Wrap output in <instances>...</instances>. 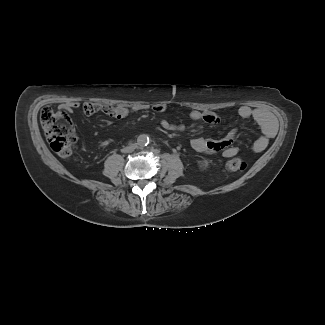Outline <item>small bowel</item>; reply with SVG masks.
Instances as JSON below:
<instances>
[{"instance_id":"c3829d8e","label":"small bowel","mask_w":325,"mask_h":325,"mask_svg":"<svg viewBox=\"0 0 325 325\" xmlns=\"http://www.w3.org/2000/svg\"><path fill=\"white\" fill-rule=\"evenodd\" d=\"M79 107L78 103H69L65 105V109L72 111ZM101 107L98 104L86 102L83 105V110L86 114H93L97 112ZM62 109L59 115L63 118V122L66 125L74 126L77 120L74 117H70L69 113ZM145 105L135 106L133 108H128L123 105H118L115 107H105V111L109 113L114 119L120 120L129 116L133 112H140L146 110ZM155 113H164L167 111V105L163 103L155 104L152 107ZM237 114L243 119H253L260 127L262 135L259 136L251 145V150L254 153L262 152L268 146L269 140L276 133V124L273 117L269 112L262 108H252L247 105H242L238 108ZM189 117L193 122H204L207 124H220L221 119L212 112H202L199 110H192L189 113ZM162 129L167 131H184L189 128L185 124H175L168 119H162L160 122ZM237 138V131L231 130L221 138L217 139H206L202 137H195L191 139V147L198 151L204 153H221L224 157H232L239 153L240 149L235 145Z\"/></svg>"}]
</instances>
